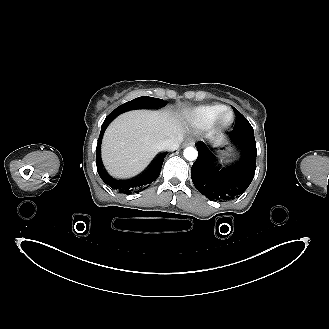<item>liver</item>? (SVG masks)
<instances>
[{"label": "liver", "instance_id": "6515ba94", "mask_svg": "<svg viewBox=\"0 0 329 329\" xmlns=\"http://www.w3.org/2000/svg\"><path fill=\"white\" fill-rule=\"evenodd\" d=\"M183 123L165 111L136 110L117 117L102 142V159L108 172L129 178L141 172L170 138H183Z\"/></svg>", "mask_w": 329, "mask_h": 329}]
</instances>
